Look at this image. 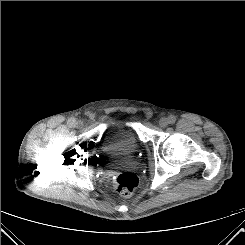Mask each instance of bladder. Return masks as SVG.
<instances>
[{
	"mask_svg": "<svg viewBox=\"0 0 245 245\" xmlns=\"http://www.w3.org/2000/svg\"><path fill=\"white\" fill-rule=\"evenodd\" d=\"M138 115H127L120 121L117 130L110 133L105 142V151L111 156L127 157L136 153L141 146L136 124Z\"/></svg>",
	"mask_w": 245,
	"mask_h": 245,
	"instance_id": "bladder-1",
	"label": "bladder"
}]
</instances>
